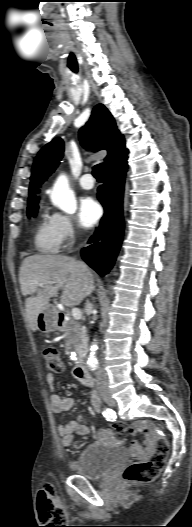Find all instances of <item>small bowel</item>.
<instances>
[{
	"instance_id": "obj_1",
	"label": "small bowel",
	"mask_w": 192,
	"mask_h": 527,
	"mask_svg": "<svg viewBox=\"0 0 192 527\" xmlns=\"http://www.w3.org/2000/svg\"><path fill=\"white\" fill-rule=\"evenodd\" d=\"M46 382L50 387L52 394L50 397L51 409L54 413H63L71 410L74 406V399L71 397H63L55 392L56 381L52 373L46 375ZM92 405L96 411L100 410L99 398L95 393L91 394ZM128 431L132 434L141 433L144 437V444L141 445L134 440L129 447V453L132 457L147 459L152 456L154 445V430L151 426L144 423H135L128 427ZM58 433L62 437L64 446H69L74 440L75 436H90L91 427L87 424L79 423L76 420H71L66 423L58 425ZM97 442L108 445H118L122 442L118 441L112 434L110 429H100L97 434Z\"/></svg>"
}]
</instances>
